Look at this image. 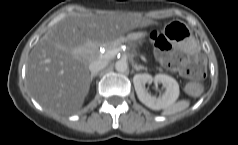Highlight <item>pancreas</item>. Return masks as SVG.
<instances>
[{
  "label": "pancreas",
  "mask_w": 238,
  "mask_h": 145,
  "mask_svg": "<svg viewBox=\"0 0 238 145\" xmlns=\"http://www.w3.org/2000/svg\"><path fill=\"white\" fill-rule=\"evenodd\" d=\"M120 42H121V40H116L114 42H111V43L107 44L106 45L107 51H110L112 49H117L121 44Z\"/></svg>",
  "instance_id": "obj_1"
}]
</instances>
